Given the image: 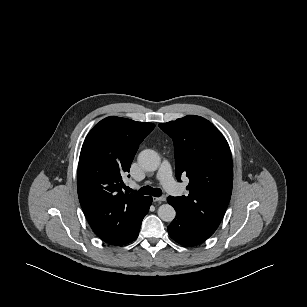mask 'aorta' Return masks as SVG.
Masks as SVG:
<instances>
[{"label": "aorta", "mask_w": 307, "mask_h": 307, "mask_svg": "<svg viewBox=\"0 0 307 307\" xmlns=\"http://www.w3.org/2000/svg\"><path fill=\"white\" fill-rule=\"evenodd\" d=\"M160 161L158 153L151 149H145L138 155V163L146 171H156ZM175 215V209L169 204H163L158 208V216L165 222L173 221Z\"/></svg>", "instance_id": "aorta-1"}]
</instances>
